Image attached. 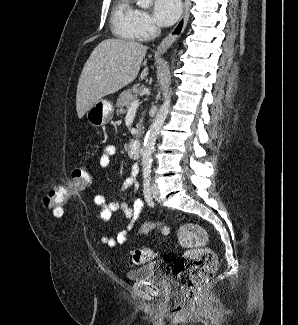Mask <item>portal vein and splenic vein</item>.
Segmentation results:
<instances>
[{"instance_id": "18ae733b", "label": "portal vein and splenic vein", "mask_w": 298, "mask_h": 325, "mask_svg": "<svg viewBox=\"0 0 298 325\" xmlns=\"http://www.w3.org/2000/svg\"><path fill=\"white\" fill-rule=\"evenodd\" d=\"M139 104H141L140 100H137V98H135V100H132L130 106H127V114H130V112H136Z\"/></svg>"}]
</instances>
